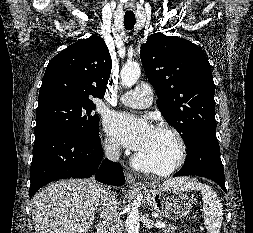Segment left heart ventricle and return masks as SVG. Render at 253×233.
I'll return each mask as SVG.
<instances>
[{"mask_svg": "<svg viewBox=\"0 0 253 233\" xmlns=\"http://www.w3.org/2000/svg\"><path fill=\"white\" fill-rule=\"evenodd\" d=\"M136 154L147 164L165 168L176 160L178 145L169 133L154 129L146 145Z\"/></svg>", "mask_w": 253, "mask_h": 233, "instance_id": "b2bd125f", "label": "left heart ventricle"}]
</instances>
